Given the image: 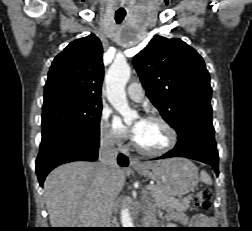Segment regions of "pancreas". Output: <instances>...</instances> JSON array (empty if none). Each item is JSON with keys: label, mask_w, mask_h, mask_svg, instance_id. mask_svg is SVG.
<instances>
[{"label": "pancreas", "mask_w": 252, "mask_h": 231, "mask_svg": "<svg viewBox=\"0 0 252 231\" xmlns=\"http://www.w3.org/2000/svg\"><path fill=\"white\" fill-rule=\"evenodd\" d=\"M150 194L152 201L157 207L162 208H173L181 211H186L190 207L191 196L185 197L183 199H176L174 197L163 196L156 185L151 186Z\"/></svg>", "instance_id": "cf45deb5"}]
</instances>
